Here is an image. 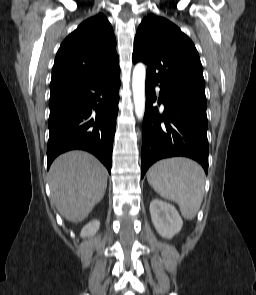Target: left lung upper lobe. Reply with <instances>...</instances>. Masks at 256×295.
Masks as SVG:
<instances>
[{
  "label": "left lung upper lobe",
  "instance_id": "obj_1",
  "mask_svg": "<svg viewBox=\"0 0 256 295\" xmlns=\"http://www.w3.org/2000/svg\"><path fill=\"white\" fill-rule=\"evenodd\" d=\"M133 62L147 64V76L171 95L207 104L205 81L193 42L172 22L153 14L138 27Z\"/></svg>",
  "mask_w": 256,
  "mask_h": 295
}]
</instances>
